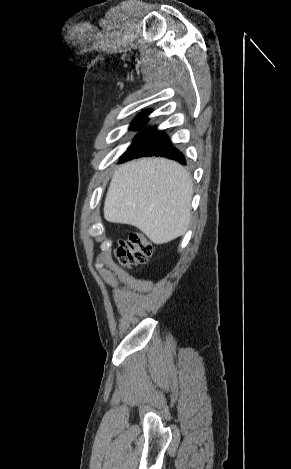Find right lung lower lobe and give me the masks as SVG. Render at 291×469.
<instances>
[{
    "label": "right lung lower lobe",
    "mask_w": 291,
    "mask_h": 469,
    "mask_svg": "<svg viewBox=\"0 0 291 469\" xmlns=\"http://www.w3.org/2000/svg\"><path fill=\"white\" fill-rule=\"evenodd\" d=\"M153 155L169 158L183 165L186 164L182 152L173 146L170 139L156 128L143 129L124 154V160Z\"/></svg>",
    "instance_id": "1"
}]
</instances>
